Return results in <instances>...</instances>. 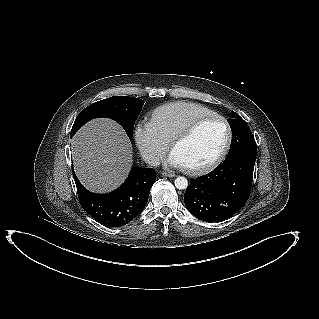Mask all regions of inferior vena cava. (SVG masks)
Masks as SVG:
<instances>
[{"label":"inferior vena cava","instance_id":"inferior-vena-cava-1","mask_svg":"<svg viewBox=\"0 0 319 319\" xmlns=\"http://www.w3.org/2000/svg\"><path fill=\"white\" fill-rule=\"evenodd\" d=\"M143 160L145 161V163L151 165V166H159L160 165V160L158 157H156L153 154H148L145 153L142 155Z\"/></svg>","mask_w":319,"mask_h":319}]
</instances>
